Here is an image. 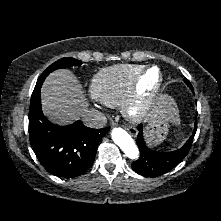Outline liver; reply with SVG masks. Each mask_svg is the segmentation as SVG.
I'll use <instances>...</instances> for the list:
<instances>
[{
  "label": "liver",
  "instance_id": "obj_1",
  "mask_svg": "<svg viewBox=\"0 0 221 221\" xmlns=\"http://www.w3.org/2000/svg\"><path fill=\"white\" fill-rule=\"evenodd\" d=\"M41 103L45 115L61 124L79 119L88 106L80 82L67 69L49 74L41 88ZM162 112L166 113L170 121L179 123L178 108L172 98L164 105Z\"/></svg>",
  "mask_w": 221,
  "mask_h": 221
}]
</instances>
